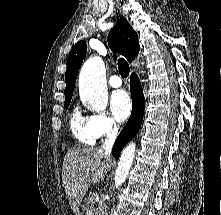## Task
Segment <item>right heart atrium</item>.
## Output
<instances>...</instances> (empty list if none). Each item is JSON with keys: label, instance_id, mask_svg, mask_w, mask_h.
Returning a JSON list of instances; mask_svg holds the SVG:
<instances>
[{"label": "right heart atrium", "instance_id": "1", "mask_svg": "<svg viewBox=\"0 0 221 215\" xmlns=\"http://www.w3.org/2000/svg\"><path fill=\"white\" fill-rule=\"evenodd\" d=\"M88 126L96 139L111 137L118 132V124L105 112H96L90 115Z\"/></svg>", "mask_w": 221, "mask_h": 215}]
</instances>
